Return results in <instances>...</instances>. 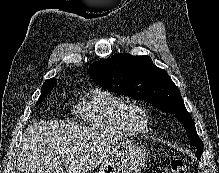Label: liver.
Listing matches in <instances>:
<instances>
[{
	"label": "liver",
	"instance_id": "1",
	"mask_svg": "<svg viewBox=\"0 0 219 173\" xmlns=\"http://www.w3.org/2000/svg\"><path fill=\"white\" fill-rule=\"evenodd\" d=\"M122 144L121 138L61 121L29 124L17 159V173H86Z\"/></svg>",
	"mask_w": 219,
	"mask_h": 173
}]
</instances>
